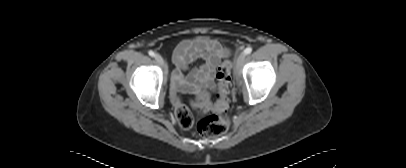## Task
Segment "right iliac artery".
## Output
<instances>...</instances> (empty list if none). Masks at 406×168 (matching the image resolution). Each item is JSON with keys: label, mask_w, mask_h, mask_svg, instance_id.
Here are the masks:
<instances>
[{"label": "right iliac artery", "mask_w": 406, "mask_h": 168, "mask_svg": "<svg viewBox=\"0 0 406 168\" xmlns=\"http://www.w3.org/2000/svg\"><path fill=\"white\" fill-rule=\"evenodd\" d=\"M148 54H149L151 57H154V56H155V53H154L153 51H149Z\"/></svg>", "instance_id": "1"}]
</instances>
